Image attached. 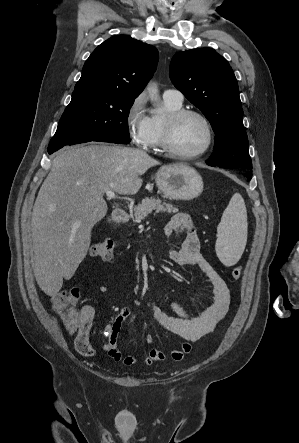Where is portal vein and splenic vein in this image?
Returning <instances> with one entry per match:
<instances>
[{
	"mask_svg": "<svg viewBox=\"0 0 299 443\" xmlns=\"http://www.w3.org/2000/svg\"><path fill=\"white\" fill-rule=\"evenodd\" d=\"M106 195H107L109 198H114V197H115V193H114V191H112V190H107V191H106Z\"/></svg>",
	"mask_w": 299,
	"mask_h": 443,
	"instance_id": "portal-vein-and-splenic-vein-1",
	"label": "portal vein and splenic vein"
}]
</instances>
